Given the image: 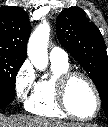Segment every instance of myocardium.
Wrapping results in <instances>:
<instances>
[{
  "instance_id": "obj_1",
  "label": "myocardium",
  "mask_w": 108,
  "mask_h": 127,
  "mask_svg": "<svg viewBox=\"0 0 108 127\" xmlns=\"http://www.w3.org/2000/svg\"><path fill=\"white\" fill-rule=\"evenodd\" d=\"M76 78H80L84 80L90 86V88L92 89L95 95L96 108L91 116L82 117L77 115L71 110L68 104V90L72 81L75 80ZM56 96H57L58 105L61 108V110L68 116L80 121H90L94 119L98 115L101 109V97L97 86L88 75L79 71L69 70L59 76L56 82Z\"/></svg>"
}]
</instances>
